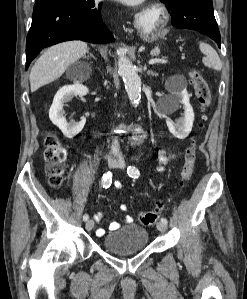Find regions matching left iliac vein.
Listing matches in <instances>:
<instances>
[{"label": "left iliac vein", "instance_id": "obj_1", "mask_svg": "<svg viewBox=\"0 0 247 299\" xmlns=\"http://www.w3.org/2000/svg\"><path fill=\"white\" fill-rule=\"evenodd\" d=\"M115 167L117 168H124L125 167V161L122 157H120L115 165ZM157 229L161 232L166 231L167 226L165 223H163L162 221L157 223Z\"/></svg>", "mask_w": 247, "mask_h": 299}]
</instances>
